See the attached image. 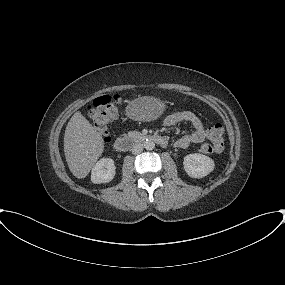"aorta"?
Returning a JSON list of instances; mask_svg holds the SVG:
<instances>
[{
    "label": "aorta",
    "instance_id": "1",
    "mask_svg": "<svg viewBox=\"0 0 285 285\" xmlns=\"http://www.w3.org/2000/svg\"><path fill=\"white\" fill-rule=\"evenodd\" d=\"M144 148L146 150H153L155 148V143L152 140H147L143 144Z\"/></svg>",
    "mask_w": 285,
    "mask_h": 285
}]
</instances>
